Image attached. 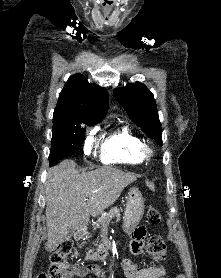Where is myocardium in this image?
Listing matches in <instances>:
<instances>
[{
  "label": "myocardium",
  "instance_id": "obj_1",
  "mask_svg": "<svg viewBox=\"0 0 221 278\" xmlns=\"http://www.w3.org/2000/svg\"><path fill=\"white\" fill-rule=\"evenodd\" d=\"M138 153L142 160H151L154 150L150 144L142 141L139 145Z\"/></svg>",
  "mask_w": 221,
  "mask_h": 278
}]
</instances>
